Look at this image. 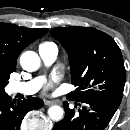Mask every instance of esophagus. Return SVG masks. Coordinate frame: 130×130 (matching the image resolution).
I'll use <instances>...</instances> for the list:
<instances>
[{
    "instance_id": "esophagus-1",
    "label": "esophagus",
    "mask_w": 130,
    "mask_h": 130,
    "mask_svg": "<svg viewBox=\"0 0 130 130\" xmlns=\"http://www.w3.org/2000/svg\"><path fill=\"white\" fill-rule=\"evenodd\" d=\"M44 103H45L46 106H51L53 104H59L60 101H58V100H51V101L46 100Z\"/></svg>"
}]
</instances>
